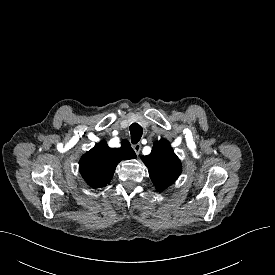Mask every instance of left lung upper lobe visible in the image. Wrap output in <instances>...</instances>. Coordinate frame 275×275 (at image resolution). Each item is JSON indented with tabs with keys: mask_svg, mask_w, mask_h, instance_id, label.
I'll list each match as a JSON object with an SVG mask.
<instances>
[{
	"mask_svg": "<svg viewBox=\"0 0 275 275\" xmlns=\"http://www.w3.org/2000/svg\"><path fill=\"white\" fill-rule=\"evenodd\" d=\"M142 161L149 169L150 178L157 191H163L173 184L182 171L179 158L165 139L155 142L151 153L142 156Z\"/></svg>",
	"mask_w": 275,
	"mask_h": 275,
	"instance_id": "5c2ea615",
	"label": "left lung upper lobe"
}]
</instances>
